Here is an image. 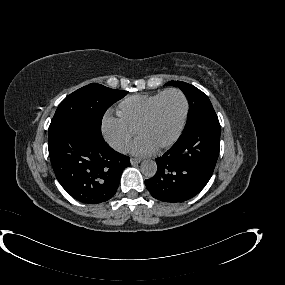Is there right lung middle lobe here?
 Returning <instances> with one entry per match:
<instances>
[{
  "instance_id": "1",
  "label": "right lung middle lobe",
  "mask_w": 285,
  "mask_h": 285,
  "mask_svg": "<svg viewBox=\"0 0 285 285\" xmlns=\"http://www.w3.org/2000/svg\"><path fill=\"white\" fill-rule=\"evenodd\" d=\"M127 91L89 84L68 95L58 106L48 130V140L59 131L83 126L101 133L106 110L123 98Z\"/></svg>"
}]
</instances>
